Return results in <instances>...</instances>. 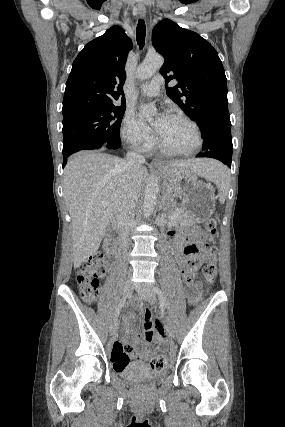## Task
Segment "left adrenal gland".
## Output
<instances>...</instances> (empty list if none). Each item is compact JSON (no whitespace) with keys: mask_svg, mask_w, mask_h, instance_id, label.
I'll use <instances>...</instances> for the list:
<instances>
[{"mask_svg":"<svg viewBox=\"0 0 285 427\" xmlns=\"http://www.w3.org/2000/svg\"><path fill=\"white\" fill-rule=\"evenodd\" d=\"M168 200H170V197H168V195L165 193L162 197V205H161V209L164 211L166 210V205Z\"/></svg>","mask_w":285,"mask_h":427,"instance_id":"obj_1","label":"left adrenal gland"}]
</instances>
